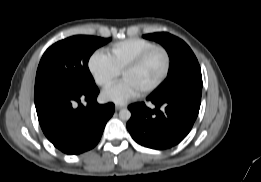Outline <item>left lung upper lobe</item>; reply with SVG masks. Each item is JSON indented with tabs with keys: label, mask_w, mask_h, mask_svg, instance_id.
Returning a JSON list of instances; mask_svg holds the SVG:
<instances>
[{
	"label": "left lung upper lobe",
	"mask_w": 261,
	"mask_h": 182,
	"mask_svg": "<svg viewBox=\"0 0 261 182\" xmlns=\"http://www.w3.org/2000/svg\"><path fill=\"white\" fill-rule=\"evenodd\" d=\"M143 37L160 43L170 58L168 76L151 93V96L165 99L186 90L202 89V75L198 60L183 40L165 32L146 34Z\"/></svg>",
	"instance_id": "left-lung-upper-lobe-1"
}]
</instances>
